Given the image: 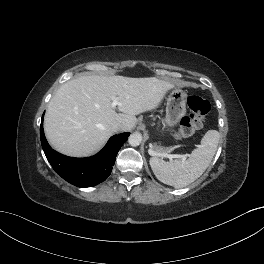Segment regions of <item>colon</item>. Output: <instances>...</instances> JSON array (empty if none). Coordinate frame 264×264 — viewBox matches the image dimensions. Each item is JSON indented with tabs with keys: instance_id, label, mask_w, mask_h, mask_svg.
Listing matches in <instances>:
<instances>
[{
	"instance_id": "colon-1",
	"label": "colon",
	"mask_w": 264,
	"mask_h": 264,
	"mask_svg": "<svg viewBox=\"0 0 264 264\" xmlns=\"http://www.w3.org/2000/svg\"><path fill=\"white\" fill-rule=\"evenodd\" d=\"M187 104L190 113L180 120L178 130L172 132V137L175 140L194 135L202 126L203 120L210 110L209 102L199 96H190Z\"/></svg>"
}]
</instances>
